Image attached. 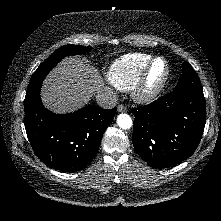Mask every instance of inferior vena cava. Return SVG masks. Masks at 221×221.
Listing matches in <instances>:
<instances>
[{
  "instance_id": "inferior-vena-cava-1",
  "label": "inferior vena cava",
  "mask_w": 221,
  "mask_h": 221,
  "mask_svg": "<svg viewBox=\"0 0 221 221\" xmlns=\"http://www.w3.org/2000/svg\"><path fill=\"white\" fill-rule=\"evenodd\" d=\"M96 101L100 107L105 109H111L116 106L118 96L113 89L109 87H104L97 92Z\"/></svg>"
}]
</instances>
